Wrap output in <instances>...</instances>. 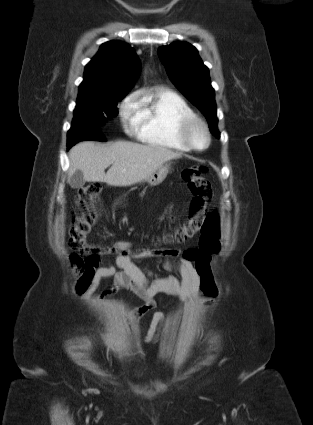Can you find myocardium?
<instances>
[{
	"label": "myocardium",
	"instance_id": "1",
	"mask_svg": "<svg viewBox=\"0 0 313 425\" xmlns=\"http://www.w3.org/2000/svg\"><path fill=\"white\" fill-rule=\"evenodd\" d=\"M196 128L202 129L205 134L206 144L203 147H198L193 141L192 134ZM179 136L185 145H187L190 149L196 151L205 150L209 147L211 143V134L208 125L204 120L197 116L187 118L182 121L180 125Z\"/></svg>",
	"mask_w": 313,
	"mask_h": 425
}]
</instances>
